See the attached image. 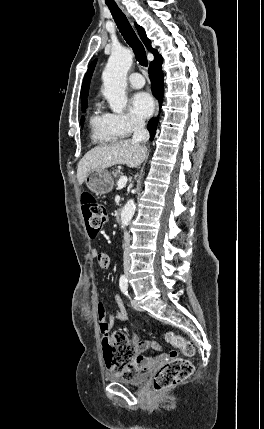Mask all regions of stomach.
I'll list each match as a JSON object with an SVG mask.
<instances>
[{
	"mask_svg": "<svg viewBox=\"0 0 264 429\" xmlns=\"http://www.w3.org/2000/svg\"><path fill=\"white\" fill-rule=\"evenodd\" d=\"M85 182L88 189L97 196L109 193L114 186V181L110 172L105 169L90 171Z\"/></svg>",
	"mask_w": 264,
	"mask_h": 429,
	"instance_id": "stomach-1",
	"label": "stomach"
}]
</instances>
